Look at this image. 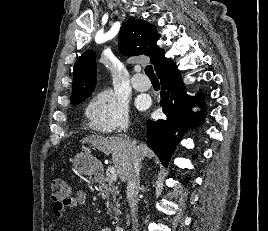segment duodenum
Returning <instances> with one entry per match:
<instances>
[{"instance_id": "1", "label": "duodenum", "mask_w": 268, "mask_h": 231, "mask_svg": "<svg viewBox=\"0 0 268 231\" xmlns=\"http://www.w3.org/2000/svg\"><path fill=\"white\" fill-rule=\"evenodd\" d=\"M100 179H102V178L100 177ZM115 231H124V229H123L122 227H117V228L115 229Z\"/></svg>"}]
</instances>
